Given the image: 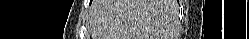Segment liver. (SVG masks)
<instances>
[{"instance_id": "liver-1", "label": "liver", "mask_w": 249, "mask_h": 39, "mask_svg": "<svg viewBox=\"0 0 249 39\" xmlns=\"http://www.w3.org/2000/svg\"><path fill=\"white\" fill-rule=\"evenodd\" d=\"M92 39H164L172 25V0H99Z\"/></svg>"}]
</instances>
